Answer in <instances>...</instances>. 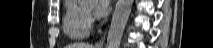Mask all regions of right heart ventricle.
I'll return each instance as SVG.
<instances>
[{
  "mask_svg": "<svg viewBox=\"0 0 213 48\" xmlns=\"http://www.w3.org/2000/svg\"><path fill=\"white\" fill-rule=\"evenodd\" d=\"M62 27L66 36L73 40H80L90 33V23L83 11V7L75 0H68L62 18Z\"/></svg>",
  "mask_w": 213,
  "mask_h": 48,
  "instance_id": "obj_1",
  "label": "right heart ventricle"
}]
</instances>
